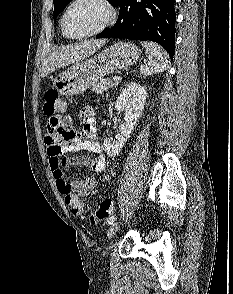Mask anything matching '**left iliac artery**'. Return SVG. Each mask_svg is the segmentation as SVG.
Listing matches in <instances>:
<instances>
[{
    "mask_svg": "<svg viewBox=\"0 0 233 294\" xmlns=\"http://www.w3.org/2000/svg\"><path fill=\"white\" fill-rule=\"evenodd\" d=\"M115 219H116V217L115 216H111V217H109L108 219H107V224H113L114 223V221H115Z\"/></svg>",
    "mask_w": 233,
    "mask_h": 294,
    "instance_id": "obj_1",
    "label": "left iliac artery"
}]
</instances>
